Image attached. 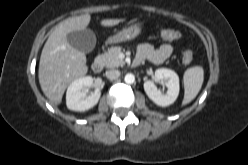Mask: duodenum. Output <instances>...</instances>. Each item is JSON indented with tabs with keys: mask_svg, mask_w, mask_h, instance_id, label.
<instances>
[{
	"mask_svg": "<svg viewBox=\"0 0 248 165\" xmlns=\"http://www.w3.org/2000/svg\"><path fill=\"white\" fill-rule=\"evenodd\" d=\"M143 58L142 57H136L135 60V65H140L143 62ZM104 68V60L102 58H96L94 60V62L92 63V70L94 73H100Z\"/></svg>",
	"mask_w": 248,
	"mask_h": 165,
	"instance_id": "410a0bca",
	"label": "duodenum"
}]
</instances>
